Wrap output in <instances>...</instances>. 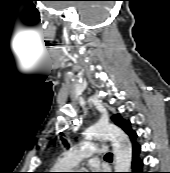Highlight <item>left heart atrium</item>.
Here are the masks:
<instances>
[{
	"mask_svg": "<svg viewBox=\"0 0 170 173\" xmlns=\"http://www.w3.org/2000/svg\"><path fill=\"white\" fill-rule=\"evenodd\" d=\"M90 170H91L93 173H98L100 169H99L98 167H96V166H93V167L90 168Z\"/></svg>",
	"mask_w": 170,
	"mask_h": 173,
	"instance_id": "left-heart-atrium-1",
	"label": "left heart atrium"
}]
</instances>
